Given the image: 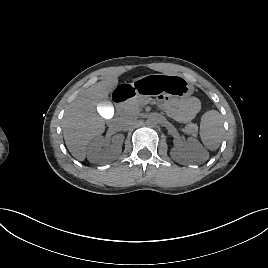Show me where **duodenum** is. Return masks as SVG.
<instances>
[{
  "label": "duodenum",
  "instance_id": "410a0bca",
  "mask_svg": "<svg viewBox=\"0 0 268 268\" xmlns=\"http://www.w3.org/2000/svg\"><path fill=\"white\" fill-rule=\"evenodd\" d=\"M132 95H133L132 89L129 88L119 89L113 95V102L116 107H120Z\"/></svg>",
  "mask_w": 268,
  "mask_h": 268
}]
</instances>
